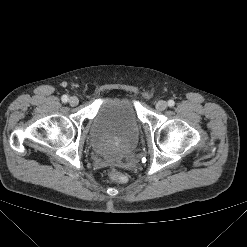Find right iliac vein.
<instances>
[{"label":"right iliac vein","instance_id":"1","mask_svg":"<svg viewBox=\"0 0 247 247\" xmlns=\"http://www.w3.org/2000/svg\"><path fill=\"white\" fill-rule=\"evenodd\" d=\"M69 103H70V105H72V106H76V105H78V103H79V99H78L77 97H75V96H72V97H70V99H69Z\"/></svg>","mask_w":247,"mask_h":247}]
</instances>
